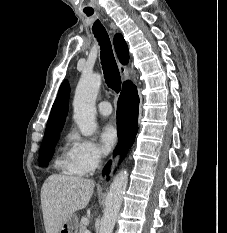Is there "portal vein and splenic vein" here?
I'll return each instance as SVG.
<instances>
[{
	"label": "portal vein and splenic vein",
	"instance_id": "obj_1",
	"mask_svg": "<svg viewBox=\"0 0 227 233\" xmlns=\"http://www.w3.org/2000/svg\"><path fill=\"white\" fill-rule=\"evenodd\" d=\"M84 233H90V231L86 229V230L84 231Z\"/></svg>",
	"mask_w": 227,
	"mask_h": 233
}]
</instances>
